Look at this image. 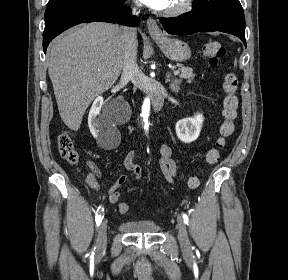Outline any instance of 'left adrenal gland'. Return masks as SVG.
Returning <instances> with one entry per match:
<instances>
[{"mask_svg":"<svg viewBox=\"0 0 288 280\" xmlns=\"http://www.w3.org/2000/svg\"><path fill=\"white\" fill-rule=\"evenodd\" d=\"M166 82H170V89L177 93L180 89L181 80L176 78H171V75L167 73Z\"/></svg>","mask_w":288,"mask_h":280,"instance_id":"1","label":"left adrenal gland"}]
</instances>
